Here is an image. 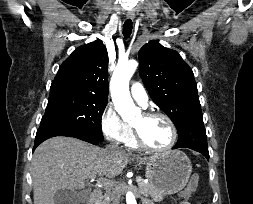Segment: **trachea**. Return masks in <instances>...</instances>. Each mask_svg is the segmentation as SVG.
Listing matches in <instances>:
<instances>
[{
    "mask_svg": "<svg viewBox=\"0 0 253 204\" xmlns=\"http://www.w3.org/2000/svg\"><path fill=\"white\" fill-rule=\"evenodd\" d=\"M132 33V21L131 19H127L123 24V35L127 39L130 37Z\"/></svg>",
    "mask_w": 253,
    "mask_h": 204,
    "instance_id": "3493384b",
    "label": "trachea"
}]
</instances>
